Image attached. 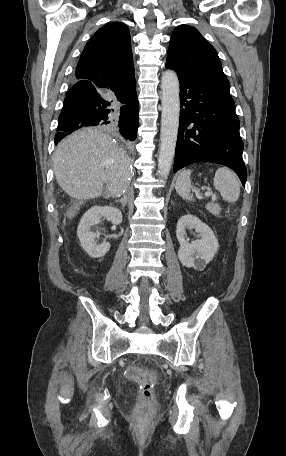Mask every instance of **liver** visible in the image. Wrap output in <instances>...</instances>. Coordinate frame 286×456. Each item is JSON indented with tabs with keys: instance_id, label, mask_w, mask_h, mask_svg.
<instances>
[{
	"instance_id": "obj_1",
	"label": "liver",
	"mask_w": 286,
	"mask_h": 456,
	"mask_svg": "<svg viewBox=\"0 0 286 456\" xmlns=\"http://www.w3.org/2000/svg\"><path fill=\"white\" fill-rule=\"evenodd\" d=\"M59 186L70 197L89 200L101 196L104 185L110 195L127 190L130 158L111 137L94 129H82L62 141L53 157Z\"/></svg>"
}]
</instances>
